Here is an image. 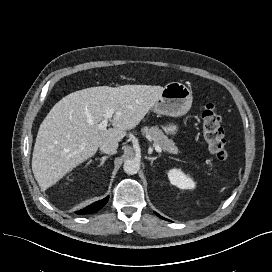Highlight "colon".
I'll return each instance as SVG.
<instances>
[{
  "mask_svg": "<svg viewBox=\"0 0 272 272\" xmlns=\"http://www.w3.org/2000/svg\"><path fill=\"white\" fill-rule=\"evenodd\" d=\"M202 135L209 151L219 160H226L229 151L221 125V116L213 103H208L201 115Z\"/></svg>",
  "mask_w": 272,
  "mask_h": 272,
  "instance_id": "obj_1",
  "label": "colon"
}]
</instances>
